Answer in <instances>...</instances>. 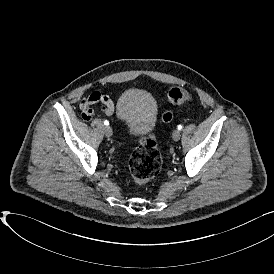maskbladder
Returning <instances> with one entry per match:
<instances>
[{
	"label": "bladder",
	"instance_id": "1",
	"mask_svg": "<svg viewBox=\"0 0 274 274\" xmlns=\"http://www.w3.org/2000/svg\"><path fill=\"white\" fill-rule=\"evenodd\" d=\"M116 117L132 136L146 137L156 124L155 100L145 90L129 89L118 99Z\"/></svg>",
	"mask_w": 274,
	"mask_h": 274
}]
</instances>
